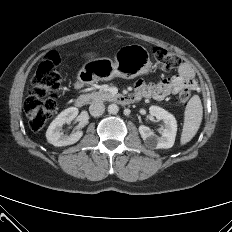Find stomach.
<instances>
[{
  "instance_id": "0dacf381",
  "label": "stomach",
  "mask_w": 232,
  "mask_h": 232,
  "mask_svg": "<svg viewBox=\"0 0 232 232\" xmlns=\"http://www.w3.org/2000/svg\"><path fill=\"white\" fill-rule=\"evenodd\" d=\"M151 67L147 49L142 45L131 44L121 47L114 61L109 58H97L86 62L78 74V80L83 84H93L114 77L134 78L147 74Z\"/></svg>"
}]
</instances>
